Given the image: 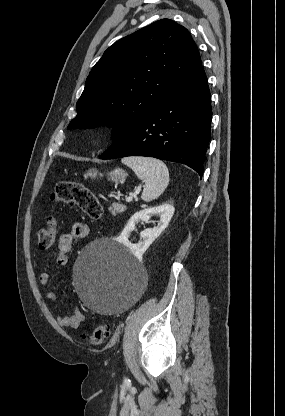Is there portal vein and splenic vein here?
<instances>
[{"mask_svg": "<svg viewBox=\"0 0 285 416\" xmlns=\"http://www.w3.org/2000/svg\"><path fill=\"white\" fill-rule=\"evenodd\" d=\"M133 198H137V194H129V198H126V202H132Z\"/></svg>", "mask_w": 285, "mask_h": 416, "instance_id": "obj_1", "label": "portal vein and splenic vein"}]
</instances>
